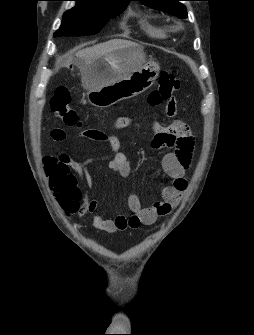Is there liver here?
<instances>
[{
    "instance_id": "1",
    "label": "liver",
    "mask_w": 254,
    "mask_h": 335,
    "mask_svg": "<svg viewBox=\"0 0 254 335\" xmlns=\"http://www.w3.org/2000/svg\"><path fill=\"white\" fill-rule=\"evenodd\" d=\"M129 46H136V44L127 40L113 39L78 51L75 55L80 60L79 68L82 74L83 86L86 88L85 74L97 59L103 56H110L116 50Z\"/></svg>"
}]
</instances>
